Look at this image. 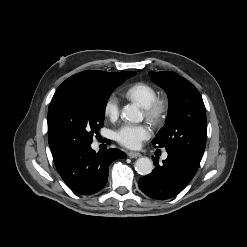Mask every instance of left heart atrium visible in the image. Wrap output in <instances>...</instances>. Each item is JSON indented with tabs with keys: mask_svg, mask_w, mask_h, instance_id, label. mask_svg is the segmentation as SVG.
Instances as JSON below:
<instances>
[{
	"mask_svg": "<svg viewBox=\"0 0 247 247\" xmlns=\"http://www.w3.org/2000/svg\"><path fill=\"white\" fill-rule=\"evenodd\" d=\"M150 134L149 127L144 124H124L117 130L116 139L121 145L135 149L148 139Z\"/></svg>",
	"mask_w": 247,
	"mask_h": 247,
	"instance_id": "39dd6f15",
	"label": "left heart atrium"
}]
</instances>
